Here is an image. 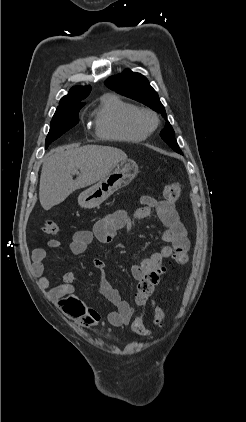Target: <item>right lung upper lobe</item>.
<instances>
[{
    "instance_id": "obj_1",
    "label": "right lung upper lobe",
    "mask_w": 246,
    "mask_h": 422,
    "mask_svg": "<svg viewBox=\"0 0 246 422\" xmlns=\"http://www.w3.org/2000/svg\"><path fill=\"white\" fill-rule=\"evenodd\" d=\"M90 91V86L72 87L69 93L60 100L59 107L85 104L82 100L88 96Z\"/></svg>"
}]
</instances>
